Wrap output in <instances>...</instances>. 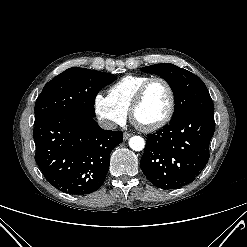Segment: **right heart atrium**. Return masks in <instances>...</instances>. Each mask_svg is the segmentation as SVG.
<instances>
[{
    "mask_svg": "<svg viewBox=\"0 0 247 247\" xmlns=\"http://www.w3.org/2000/svg\"><path fill=\"white\" fill-rule=\"evenodd\" d=\"M94 110L98 118L108 127L125 122L128 111L118 106L109 95L97 93L94 97Z\"/></svg>",
    "mask_w": 247,
    "mask_h": 247,
    "instance_id": "d8ad5b80",
    "label": "right heart atrium"
}]
</instances>
